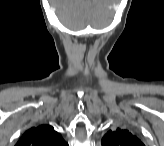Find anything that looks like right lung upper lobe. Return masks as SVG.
<instances>
[{"instance_id":"cb5924a9","label":"right lung upper lobe","mask_w":164,"mask_h":146,"mask_svg":"<svg viewBox=\"0 0 164 146\" xmlns=\"http://www.w3.org/2000/svg\"><path fill=\"white\" fill-rule=\"evenodd\" d=\"M16 146H66V142L53 127L41 125L26 131Z\"/></svg>"}]
</instances>
